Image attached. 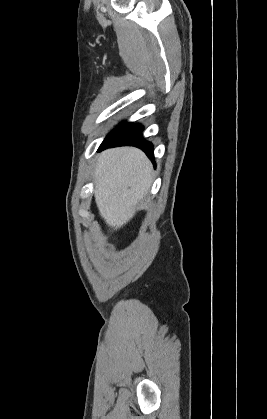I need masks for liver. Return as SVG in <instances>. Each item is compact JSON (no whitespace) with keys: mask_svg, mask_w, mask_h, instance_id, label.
<instances>
[{"mask_svg":"<svg viewBox=\"0 0 267 419\" xmlns=\"http://www.w3.org/2000/svg\"><path fill=\"white\" fill-rule=\"evenodd\" d=\"M153 166L146 155L134 147L102 152L94 169L95 201L106 224L117 230L137 210L152 184Z\"/></svg>","mask_w":267,"mask_h":419,"instance_id":"6515ba94","label":"liver"}]
</instances>
